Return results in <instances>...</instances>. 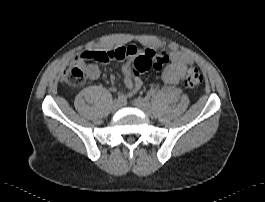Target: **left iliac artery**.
<instances>
[{
	"instance_id": "44dca946",
	"label": "left iliac artery",
	"mask_w": 265,
	"mask_h": 202,
	"mask_svg": "<svg viewBox=\"0 0 265 202\" xmlns=\"http://www.w3.org/2000/svg\"><path fill=\"white\" fill-rule=\"evenodd\" d=\"M147 95H148L149 97H153V96H155V90L151 89L150 91H148Z\"/></svg>"
}]
</instances>
